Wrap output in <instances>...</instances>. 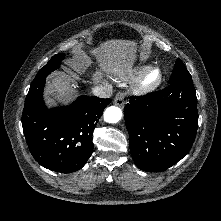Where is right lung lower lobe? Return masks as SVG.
Returning <instances> with one entry per match:
<instances>
[{
    "mask_svg": "<svg viewBox=\"0 0 221 221\" xmlns=\"http://www.w3.org/2000/svg\"><path fill=\"white\" fill-rule=\"evenodd\" d=\"M45 78L30 86L22 114L23 132L40 165L71 173L91 156L93 130L111 100L81 95L69 106L48 109L43 101Z\"/></svg>",
    "mask_w": 221,
    "mask_h": 221,
    "instance_id": "98d812e1",
    "label": "right lung lower lobe"
}]
</instances>
